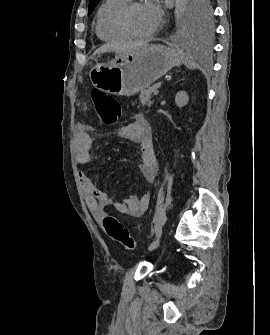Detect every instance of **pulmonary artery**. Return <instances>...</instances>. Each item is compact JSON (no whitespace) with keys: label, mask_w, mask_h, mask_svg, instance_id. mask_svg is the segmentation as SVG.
<instances>
[{"label":"pulmonary artery","mask_w":270,"mask_h":335,"mask_svg":"<svg viewBox=\"0 0 270 335\" xmlns=\"http://www.w3.org/2000/svg\"><path fill=\"white\" fill-rule=\"evenodd\" d=\"M123 2L131 3L133 0H122Z\"/></svg>","instance_id":"obj_1"}]
</instances>
